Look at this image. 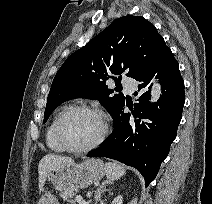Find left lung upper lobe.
I'll return each mask as SVG.
<instances>
[{"instance_id":"5c2ea615","label":"left lung upper lobe","mask_w":212,"mask_h":204,"mask_svg":"<svg viewBox=\"0 0 212 204\" xmlns=\"http://www.w3.org/2000/svg\"><path fill=\"white\" fill-rule=\"evenodd\" d=\"M168 47L153 24L140 16H124L114 20L84 47L74 52L58 70L48 95L44 113H50L64 101L89 97L99 102L111 115L125 102L120 92L121 76L116 88L108 89L105 81L110 74L136 78Z\"/></svg>"}]
</instances>
